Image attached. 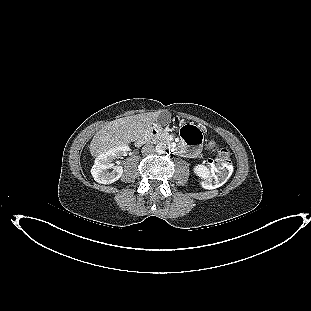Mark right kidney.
Instances as JSON below:
<instances>
[{
	"mask_svg": "<svg viewBox=\"0 0 311 311\" xmlns=\"http://www.w3.org/2000/svg\"><path fill=\"white\" fill-rule=\"evenodd\" d=\"M127 151H129L127 145H120L99 155L91 169L94 180L101 184H111L117 181L122 176L123 169L122 167L114 166L112 162L126 154ZM109 169H113V171L109 172Z\"/></svg>",
	"mask_w": 311,
	"mask_h": 311,
	"instance_id": "1",
	"label": "right kidney"
}]
</instances>
